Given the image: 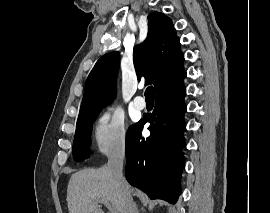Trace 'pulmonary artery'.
Segmentation results:
<instances>
[{
	"mask_svg": "<svg viewBox=\"0 0 270 213\" xmlns=\"http://www.w3.org/2000/svg\"><path fill=\"white\" fill-rule=\"evenodd\" d=\"M134 106L139 110H143L146 107L145 99L141 96L135 97L134 98Z\"/></svg>",
	"mask_w": 270,
	"mask_h": 213,
	"instance_id": "pulmonary-artery-1",
	"label": "pulmonary artery"
}]
</instances>
